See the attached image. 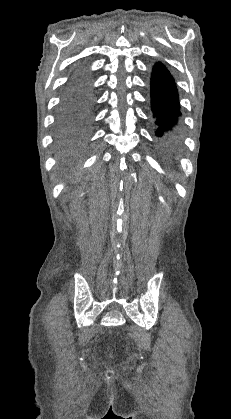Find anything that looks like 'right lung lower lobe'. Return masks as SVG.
<instances>
[{
	"mask_svg": "<svg viewBox=\"0 0 231 419\" xmlns=\"http://www.w3.org/2000/svg\"><path fill=\"white\" fill-rule=\"evenodd\" d=\"M94 95L91 87L78 76H73L61 98L58 114V137L71 144H82L92 123Z\"/></svg>",
	"mask_w": 231,
	"mask_h": 419,
	"instance_id": "1",
	"label": "right lung lower lobe"
}]
</instances>
